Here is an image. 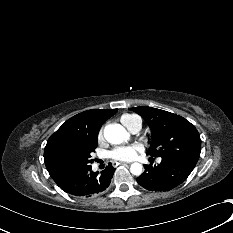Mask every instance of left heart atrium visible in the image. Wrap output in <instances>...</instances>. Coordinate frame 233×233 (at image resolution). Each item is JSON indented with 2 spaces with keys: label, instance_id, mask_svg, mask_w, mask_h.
I'll return each mask as SVG.
<instances>
[{
  "label": "left heart atrium",
  "instance_id": "1",
  "mask_svg": "<svg viewBox=\"0 0 233 233\" xmlns=\"http://www.w3.org/2000/svg\"><path fill=\"white\" fill-rule=\"evenodd\" d=\"M139 150L135 145L119 146L110 152V157L115 161H131L136 158Z\"/></svg>",
  "mask_w": 233,
  "mask_h": 233
}]
</instances>
